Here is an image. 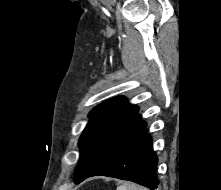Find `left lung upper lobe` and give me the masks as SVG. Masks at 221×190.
<instances>
[{
  "mask_svg": "<svg viewBox=\"0 0 221 190\" xmlns=\"http://www.w3.org/2000/svg\"><path fill=\"white\" fill-rule=\"evenodd\" d=\"M125 97L109 99L90 112L91 120L79 139L80 160L74 182L86 175L114 137L138 114Z\"/></svg>",
  "mask_w": 221,
  "mask_h": 190,
  "instance_id": "left-lung-upper-lobe-1",
  "label": "left lung upper lobe"
}]
</instances>
